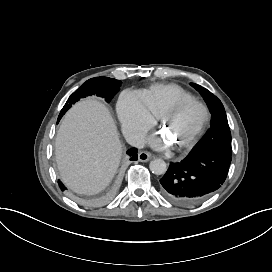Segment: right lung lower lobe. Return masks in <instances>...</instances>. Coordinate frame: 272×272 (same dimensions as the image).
Masks as SVG:
<instances>
[{"instance_id": "98d812e1", "label": "right lung lower lobe", "mask_w": 272, "mask_h": 272, "mask_svg": "<svg viewBox=\"0 0 272 272\" xmlns=\"http://www.w3.org/2000/svg\"><path fill=\"white\" fill-rule=\"evenodd\" d=\"M61 119V118H60ZM57 122H59V120ZM138 150L136 148H131L127 151V154L130 156V160L134 161L138 159V155H137ZM59 186L61 187V189L64 191L66 189V187L62 184L61 181H58Z\"/></svg>"}]
</instances>
